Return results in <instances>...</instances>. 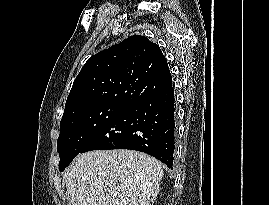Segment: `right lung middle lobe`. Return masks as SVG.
I'll return each mask as SVG.
<instances>
[{
  "label": "right lung middle lobe",
  "instance_id": "1",
  "mask_svg": "<svg viewBox=\"0 0 269 205\" xmlns=\"http://www.w3.org/2000/svg\"><path fill=\"white\" fill-rule=\"evenodd\" d=\"M127 106L122 103H97L62 117L57 141L59 170L64 171L86 144Z\"/></svg>",
  "mask_w": 269,
  "mask_h": 205
}]
</instances>
